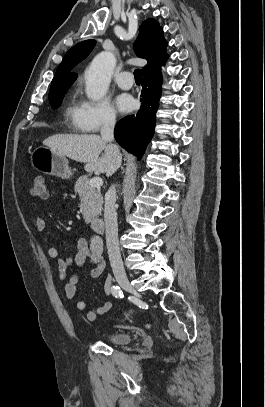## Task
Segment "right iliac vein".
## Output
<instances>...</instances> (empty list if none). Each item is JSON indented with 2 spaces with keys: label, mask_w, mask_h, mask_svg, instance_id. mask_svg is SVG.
<instances>
[{
  "label": "right iliac vein",
  "mask_w": 265,
  "mask_h": 407,
  "mask_svg": "<svg viewBox=\"0 0 265 407\" xmlns=\"http://www.w3.org/2000/svg\"><path fill=\"white\" fill-rule=\"evenodd\" d=\"M117 282L124 290L134 294L136 297H140V295L135 291L133 286L130 284L127 277L117 278Z\"/></svg>",
  "instance_id": "63e3f726"
}]
</instances>
